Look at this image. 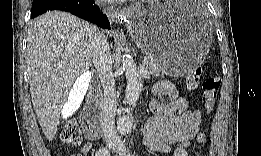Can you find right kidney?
Masks as SVG:
<instances>
[{
  "instance_id": "obj_1",
  "label": "right kidney",
  "mask_w": 261,
  "mask_h": 156,
  "mask_svg": "<svg viewBox=\"0 0 261 156\" xmlns=\"http://www.w3.org/2000/svg\"><path fill=\"white\" fill-rule=\"evenodd\" d=\"M79 84H81V82H80ZM79 84H78V86H79ZM77 88H78V87H77ZM85 90H86V85L81 89V91H80V93H79V98H80V99L83 98V95H84V93H85Z\"/></svg>"
}]
</instances>
